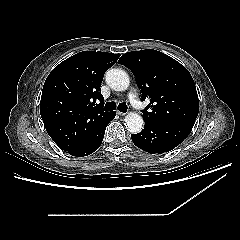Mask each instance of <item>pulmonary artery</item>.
Returning <instances> with one entry per match:
<instances>
[{
  "mask_svg": "<svg viewBox=\"0 0 240 240\" xmlns=\"http://www.w3.org/2000/svg\"><path fill=\"white\" fill-rule=\"evenodd\" d=\"M128 98L130 100V103L133 107H135L136 109H141L142 107H144L143 103L138 99V96L136 93L134 92H130L128 95Z\"/></svg>",
  "mask_w": 240,
  "mask_h": 240,
  "instance_id": "obj_1",
  "label": "pulmonary artery"
}]
</instances>
